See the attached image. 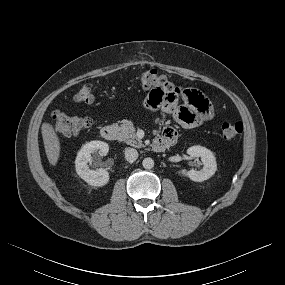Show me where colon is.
Here are the masks:
<instances>
[{
  "mask_svg": "<svg viewBox=\"0 0 285 285\" xmlns=\"http://www.w3.org/2000/svg\"><path fill=\"white\" fill-rule=\"evenodd\" d=\"M140 84L145 89L157 83H164L172 86L183 94V90L169 81L163 74L156 70H148L141 74ZM74 100L79 103L92 104L95 101L94 87L91 83H84L78 92L74 95ZM53 125L59 134L64 136H74L93 125L90 118L68 115L61 111H54L52 114ZM220 133L225 140L236 138L243 130L240 122L226 121L220 124Z\"/></svg>",
  "mask_w": 285,
  "mask_h": 285,
  "instance_id": "obj_1",
  "label": "colon"
}]
</instances>
